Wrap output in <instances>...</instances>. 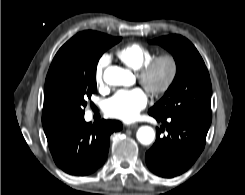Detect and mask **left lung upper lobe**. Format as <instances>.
I'll list each match as a JSON object with an SVG mask.
<instances>
[{
    "mask_svg": "<svg viewBox=\"0 0 245 195\" xmlns=\"http://www.w3.org/2000/svg\"><path fill=\"white\" fill-rule=\"evenodd\" d=\"M151 43L172 53L177 73L165 95L149 111L160 116L177 114L211 119L210 76L194 45L181 35L163 36Z\"/></svg>",
    "mask_w": 245,
    "mask_h": 195,
    "instance_id": "1",
    "label": "left lung upper lobe"
}]
</instances>
